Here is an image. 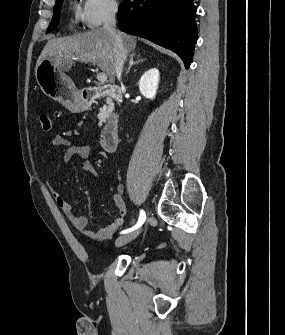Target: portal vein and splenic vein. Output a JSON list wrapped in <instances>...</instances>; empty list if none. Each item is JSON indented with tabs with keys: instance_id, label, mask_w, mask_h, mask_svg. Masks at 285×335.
<instances>
[{
	"instance_id": "obj_1",
	"label": "portal vein and splenic vein",
	"mask_w": 285,
	"mask_h": 335,
	"mask_svg": "<svg viewBox=\"0 0 285 335\" xmlns=\"http://www.w3.org/2000/svg\"><path fill=\"white\" fill-rule=\"evenodd\" d=\"M98 82H107L106 74H96Z\"/></svg>"
}]
</instances>
